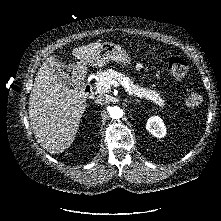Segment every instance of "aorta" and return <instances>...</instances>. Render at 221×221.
<instances>
[{"label":"aorta","instance_id":"1","mask_svg":"<svg viewBox=\"0 0 221 221\" xmlns=\"http://www.w3.org/2000/svg\"><path fill=\"white\" fill-rule=\"evenodd\" d=\"M109 114L112 119H119L123 115V111L118 106H113L109 108Z\"/></svg>","mask_w":221,"mask_h":221}]
</instances>
